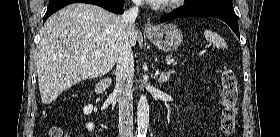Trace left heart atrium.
<instances>
[{
  "label": "left heart atrium",
  "instance_id": "1",
  "mask_svg": "<svg viewBox=\"0 0 280 137\" xmlns=\"http://www.w3.org/2000/svg\"><path fill=\"white\" fill-rule=\"evenodd\" d=\"M149 2H150L151 4H155V5H157V4H163V3H166V2H167V0H149Z\"/></svg>",
  "mask_w": 280,
  "mask_h": 137
}]
</instances>
